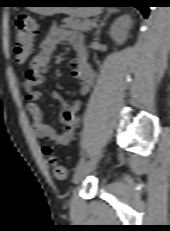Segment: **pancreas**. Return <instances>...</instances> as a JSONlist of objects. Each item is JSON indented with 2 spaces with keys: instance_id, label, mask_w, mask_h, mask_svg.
Masks as SVG:
<instances>
[{
  "instance_id": "1",
  "label": "pancreas",
  "mask_w": 170,
  "mask_h": 231,
  "mask_svg": "<svg viewBox=\"0 0 170 231\" xmlns=\"http://www.w3.org/2000/svg\"><path fill=\"white\" fill-rule=\"evenodd\" d=\"M94 21L92 20H80V19H75V18H65L63 19V28H68V29H72L75 31H82V32H86L91 30L92 28V24Z\"/></svg>"
}]
</instances>
